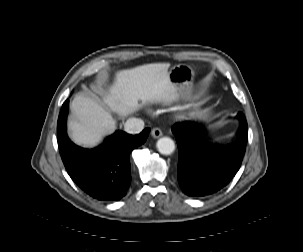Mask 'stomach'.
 I'll return each mask as SVG.
<instances>
[{
	"label": "stomach",
	"instance_id": "stomach-1",
	"mask_svg": "<svg viewBox=\"0 0 303 252\" xmlns=\"http://www.w3.org/2000/svg\"><path fill=\"white\" fill-rule=\"evenodd\" d=\"M169 82L175 93L184 97L188 95L195 77L194 69L186 64H177L168 71Z\"/></svg>",
	"mask_w": 303,
	"mask_h": 252
}]
</instances>
